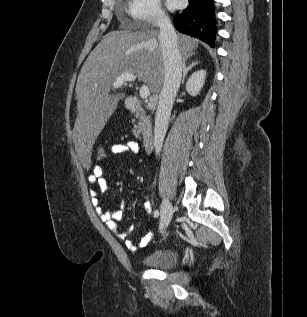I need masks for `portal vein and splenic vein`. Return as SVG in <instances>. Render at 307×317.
Listing matches in <instances>:
<instances>
[{
    "mask_svg": "<svg viewBox=\"0 0 307 317\" xmlns=\"http://www.w3.org/2000/svg\"><path fill=\"white\" fill-rule=\"evenodd\" d=\"M136 80V76L132 73H122L117 77L115 82L113 83V88H120L125 82H134ZM140 97L142 99H147L150 95V90L148 86L142 85L140 87Z\"/></svg>",
    "mask_w": 307,
    "mask_h": 317,
    "instance_id": "1",
    "label": "portal vein and splenic vein"
}]
</instances>
